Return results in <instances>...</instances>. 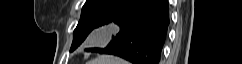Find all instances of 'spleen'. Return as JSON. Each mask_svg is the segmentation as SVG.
I'll return each instance as SVG.
<instances>
[{"label": "spleen", "mask_w": 242, "mask_h": 64, "mask_svg": "<svg viewBox=\"0 0 242 64\" xmlns=\"http://www.w3.org/2000/svg\"><path fill=\"white\" fill-rule=\"evenodd\" d=\"M88 64H129V62L114 56L102 55L90 61Z\"/></svg>", "instance_id": "obj_1"}]
</instances>
